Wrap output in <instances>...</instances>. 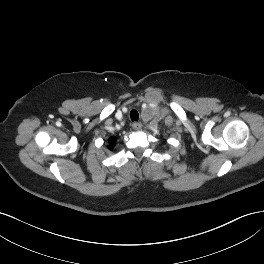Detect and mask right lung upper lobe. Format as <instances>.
Returning <instances> with one entry per match:
<instances>
[{"mask_svg":"<svg viewBox=\"0 0 264 264\" xmlns=\"http://www.w3.org/2000/svg\"><path fill=\"white\" fill-rule=\"evenodd\" d=\"M108 146H109V149H112L113 147H114V145H115V138H110L109 140H108Z\"/></svg>","mask_w":264,"mask_h":264,"instance_id":"obj_1","label":"right lung upper lobe"}]
</instances>
